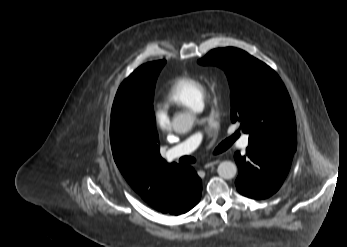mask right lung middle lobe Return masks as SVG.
<instances>
[{
    "mask_svg": "<svg viewBox=\"0 0 347 247\" xmlns=\"http://www.w3.org/2000/svg\"><path fill=\"white\" fill-rule=\"evenodd\" d=\"M164 60L141 65L119 87L111 111L110 127L131 137L158 136L153 109L157 77Z\"/></svg>",
    "mask_w": 347,
    "mask_h": 247,
    "instance_id": "right-lung-middle-lobe-1",
    "label": "right lung middle lobe"
}]
</instances>
